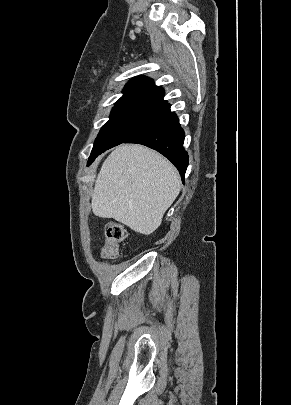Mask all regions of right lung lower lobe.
<instances>
[{"label":"right lung lower lobe","instance_id":"obj_1","mask_svg":"<svg viewBox=\"0 0 291 405\" xmlns=\"http://www.w3.org/2000/svg\"><path fill=\"white\" fill-rule=\"evenodd\" d=\"M184 130L174 112L134 135L124 143H137L157 150L179 170L182 180L188 166V153L183 147Z\"/></svg>","mask_w":291,"mask_h":405}]
</instances>
